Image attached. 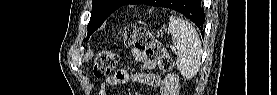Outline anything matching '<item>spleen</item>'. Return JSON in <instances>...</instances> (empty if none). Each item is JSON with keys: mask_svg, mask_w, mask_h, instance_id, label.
<instances>
[{"mask_svg": "<svg viewBox=\"0 0 277 95\" xmlns=\"http://www.w3.org/2000/svg\"><path fill=\"white\" fill-rule=\"evenodd\" d=\"M168 31L177 49V69L185 78L197 74L201 65L202 46L195 28L188 22L171 16Z\"/></svg>", "mask_w": 277, "mask_h": 95, "instance_id": "obj_1", "label": "spleen"}]
</instances>
